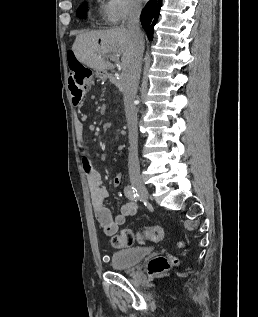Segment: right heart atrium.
<instances>
[{"instance_id":"obj_1","label":"right heart atrium","mask_w":258,"mask_h":317,"mask_svg":"<svg viewBox=\"0 0 258 317\" xmlns=\"http://www.w3.org/2000/svg\"><path fill=\"white\" fill-rule=\"evenodd\" d=\"M138 8L135 0H107L103 11L104 20L109 27L122 26Z\"/></svg>"}]
</instances>
